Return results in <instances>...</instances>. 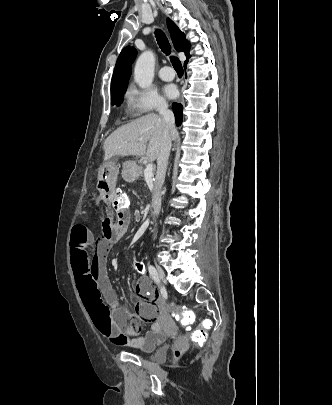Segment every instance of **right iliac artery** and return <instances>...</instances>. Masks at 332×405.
Here are the masks:
<instances>
[{
  "mask_svg": "<svg viewBox=\"0 0 332 405\" xmlns=\"http://www.w3.org/2000/svg\"><path fill=\"white\" fill-rule=\"evenodd\" d=\"M148 271H149V274H150L151 278H152L156 283H159V282H160V279H159V277H158V275H157L156 269H155L152 265H150V266L148 267Z\"/></svg>",
  "mask_w": 332,
  "mask_h": 405,
  "instance_id": "obj_1",
  "label": "right iliac artery"
}]
</instances>
